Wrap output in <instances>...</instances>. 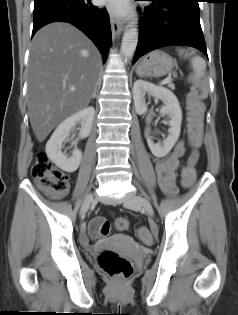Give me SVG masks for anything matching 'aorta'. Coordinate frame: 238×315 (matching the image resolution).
<instances>
[{"label": "aorta", "instance_id": "762f6f07", "mask_svg": "<svg viewBox=\"0 0 238 315\" xmlns=\"http://www.w3.org/2000/svg\"><path fill=\"white\" fill-rule=\"evenodd\" d=\"M138 43V29L135 25L130 24L127 26L121 43V53L126 59L133 56Z\"/></svg>", "mask_w": 238, "mask_h": 315}]
</instances>
